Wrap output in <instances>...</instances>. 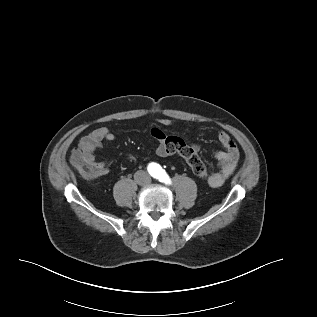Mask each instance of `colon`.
<instances>
[{
  "label": "colon",
  "instance_id": "obj_1",
  "mask_svg": "<svg viewBox=\"0 0 317 317\" xmlns=\"http://www.w3.org/2000/svg\"><path fill=\"white\" fill-rule=\"evenodd\" d=\"M178 154L186 160L191 172L196 177L203 180L209 178L207 166L200 159L198 153H196L192 148L187 147L185 149L178 150ZM75 167L78 172L86 178H93L96 176V168L94 164L90 161L79 158L75 162Z\"/></svg>",
  "mask_w": 317,
  "mask_h": 317
}]
</instances>
